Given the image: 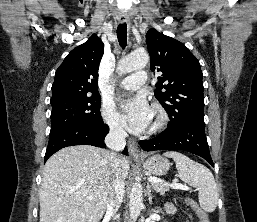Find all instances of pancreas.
<instances>
[{
    "mask_svg": "<svg viewBox=\"0 0 257 222\" xmlns=\"http://www.w3.org/2000/svg\"><path fill=\"white\" fill-rule=\"evenodd\" d=\"M152 187L156 192L161 193V195H164L165 192L169 191V188L161 183H153Z\"/></svg>",
    "mask_w": 257,
    "mask_h": 222,
    "instance_id": "1",
    "label": "pancreas"
}]
</instances>
